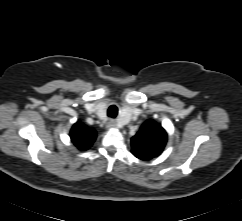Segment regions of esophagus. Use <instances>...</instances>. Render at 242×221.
<instances>
[{
    "mask_svg": "<svg viewBox=\"0 0 242 221\" xmlns=\"http://www.w3.org/2000/svg\"><path fill=\"white\" fill-rule=\"evenodd\" d=\"M116 125H115V122L114 121H110L107 123V127L108 128H114Z\"/></svg>",
    "mask_w": 242,
    "mask_h": 221,
    "instance_id": "obj_1",
    "label": "esophagus"
}]
</instances>
